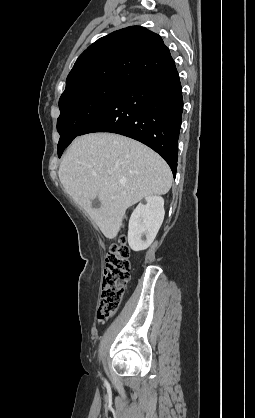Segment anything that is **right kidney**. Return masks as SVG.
<instances>
[{
    "label": "right kidney",
    "mask_w": 255,
    "mask_h": 418,
    "mask_svg": "<svg viewBox=\"0 0 255 418\" xmlns=\"http://www.w3.org/2000/svg\"><path fill=\"white\" fill-rule=\"evenodd\" d=\"M164 199L148 196L133 211L128 227V244L133 251L147 249L164 219Z\"/></svg>",
    "instance_id": "obj_1"
}]
</instances>
